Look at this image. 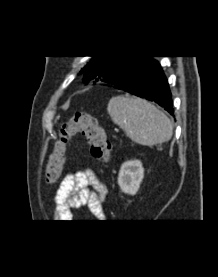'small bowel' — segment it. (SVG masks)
<instances>
[{
  "label": "small bowel",
  "mask_w": 218,
  "mask_h": 277,
  "mask_svg": "<svg viewBox=\"0 0 218 277\" xmlns=\"http://www.w3.org/2000/svg\"><path fill=\"white\" fill-rule=\"evenodd\" d=\"M106 194V186L91 169L69 174L62 180L55 195V217L69 220L74 211L87 206L96 217L103 218L102 204Z\"/></svg>",
  "instance_id": "obj_1"
}]
</instances>
